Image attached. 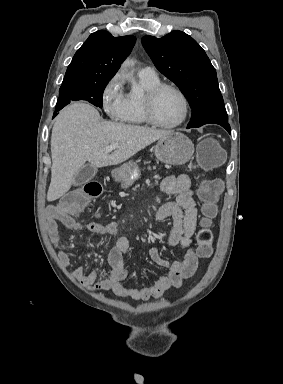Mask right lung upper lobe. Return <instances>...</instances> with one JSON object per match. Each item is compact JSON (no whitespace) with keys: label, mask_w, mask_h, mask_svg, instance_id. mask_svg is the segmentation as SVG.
Segmentation results:
<instances>
[{"label":"right lung upper lobe","mask_w":283,"mask_h":384,"mask_svg":"<svg viewBox=\"0 0 283 384\" xmlns=\"http://www.w3.org/2000/svg\"><path fill=\"white\" fill-rule=\"evenodd\" d=\"M135 41L133 35L113 37L104 30L92 33L75 53L61 87L108 83Z\"/></svg>","instance_id":"cb5924a9"}]
</instances>
